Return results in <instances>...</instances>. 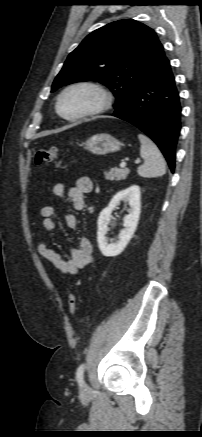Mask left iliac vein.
Listing matches in <instances>:
<instances>
[{"label": "left iliac vein", "instance_id": "1", "mask_svg": "<svg viewBox=\"0 0 202 437\" xmlns=\"http://www.w3.org/2000/svg\"><path fill=\"white\" fill-rule=\"evenodd\" d=\"M88 389H89L88 386L86 384H84L82 387V391L86 392V391H88Z\"/></svg>", "mask_w": 202, "mask_h": 437}]
</instances>
